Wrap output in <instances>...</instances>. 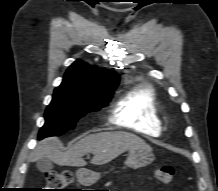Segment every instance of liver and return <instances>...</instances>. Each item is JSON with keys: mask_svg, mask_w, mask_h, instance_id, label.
Instances as JSON below:
<instances>
[{"mask_svg": "<svg viewBox=\"0 0 218 191\" xmlns=\"http://www.w3.org/2000/svg\"><path fill=\"white\" fill-rule=\"evenodd\" d=\"M132 149L152 150L143 139L132 133L99 132L85 136L67 151L61 150L58 138H47L37 145L30 160L46 157L59 166L81 167L87 164L82 157L91 153V163L103 165Z\"/></svg>", "mask_w": 218, "mask_h": 191, "instance_id": "obj_1", "label": "liver"}]
</instances>
